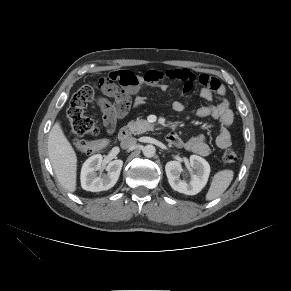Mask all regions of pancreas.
<instances>
[{"instance_id":"pancreas-1","label":"pancreas","mask_w":291,"mask_h":291,"mask_svg":"<svg viewBox=\"0 0 291 291\" xmlns=\"http://www.w3.org/2000/svg\"><path fill=\"white\" fill-rule=\"evenodd\" d=\"M129 131L134 135L145 133L153 128V125L146 120L140 119L136 121H130L126 126Z\"/></svg>"}]
</instances>
